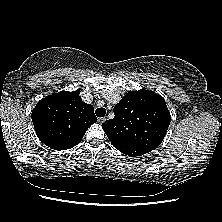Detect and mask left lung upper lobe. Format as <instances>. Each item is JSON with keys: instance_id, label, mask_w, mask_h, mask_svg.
Wrapping results in <instances>:
<instances>
[{"instance_id": "1", "label": "left lung upper lobe", "mask_w": 222, "mask_h": 222, "mask_svg": "<svg viewBox=\"0 0 222 222\" xmlns=\"http://www.w3.org/2000/svg\"><path fill=\"white\" fill-rule=\"evenodd\" d=\"M115 117L102 128L115 148L156 149L171 122L166 102L159 94L145 89L128 92L114 107Z\"/></svg>"}]
</instances>
